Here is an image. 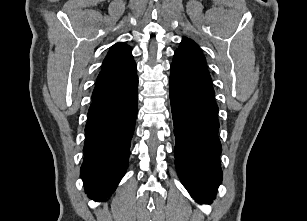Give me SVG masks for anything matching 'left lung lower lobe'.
Instances as JSON below:
<instances>
[{
  "label": "left lung lower lobe",
  "instance_id": "left-lung-lower-lobe-1",
  "mask_svg": "<svg viewBox=\"0 0 307 221\" xmlns=\"http://www.w3.org/2000/svg\"><path fill=\"white\" fill-rule=\"evenodd\" d=\"M169 83L178 175L198 203L210 204L222 181L218 107L210 74L175 52Z\"/></svg>",
  "mask_w": 307,
  "mask_h": 221
}]
</instances>
